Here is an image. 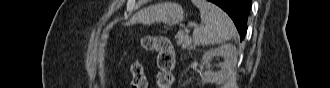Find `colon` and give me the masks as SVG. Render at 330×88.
<instances>
[{
  "label": "colon",
  "instance_id": "colon-1",
  "mask_svg": "<svg viewBox=\"0 0 330 88\" xmlns=\"http://www.w3.org/2000/svg\"><path fill=\"white\" fill-rule=\"evenodd\" d=\"M144 49L157 54L159 73L157 83L159 88H170L173 83V69L175 66L174 50L170 40L164 36H145L142 38ZM132 88H147L143 66L135 61L131 65Z\"/></svg>",
  "mask_w": 330,
  "mask_h": 88
}]
</instances>
